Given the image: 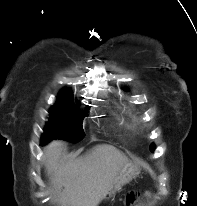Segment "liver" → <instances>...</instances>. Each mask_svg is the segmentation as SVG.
Segmentation results:
<instances>
[{"mask_svg": "<svg viewBox=\"0 0 197 206\" xmlns=\"http://www.w3.org/2000/svg\"><path fill=\"white\" fill-rule=\"evenodd\" d=\"M62 147L63 143L56 140L44 149L55 201L60 206H97L109 192L127 158L114 146L104 144L82 157L62 163L59 162Z\"/></svg>", "mask_w": 197, "mask_h": 206, "instance_id": "6515ba94", "label": "liver"}]
</instances>
